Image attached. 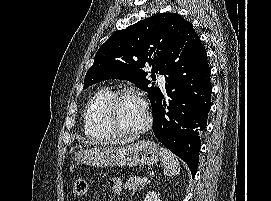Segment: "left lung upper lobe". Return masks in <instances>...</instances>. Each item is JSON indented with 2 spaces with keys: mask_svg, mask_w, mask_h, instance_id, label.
<instances>
[{
  "mask_svg": "<svg viewBox=\"0 0 271 201\" xmlns=\"http://www.w3.org/2000/svg\"><path fill=\"white\" fill-rule=\"evenodd\" d=\"M190 35L197 36L191 23L176 13L158 14L115 32L97 51L84 89L106 79L128 80L149 94L154 111L162 93L150 86L148 73L141 68L149 65L151 76H166L175 42Z\"/></svg>",
  "mask_w": 271,
  "mask_h": 201,
  "instance_id": "left-lung-upper-lobe-1",
  "label": "left lung upper lobe"
}]
</instances>
